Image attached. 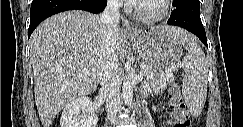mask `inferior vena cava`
I'll return each mask as SVG.
<instances>
[{
    "mask_svg": "<svg viewBox=\"0 0 243 127\" xmlns=\"http://www.w3.org/2000/svg\"><path fill=\"white\" fill-rule=\"evenodd\" d=\"M120 6V0H108L101 15V22L106 26L107 30L103 44L99 82L102 90L107 93L106 112L111 122H115L117 113L121 110L120 68L114 39V34L120 22Z\"/></svg>",
    "mask_w": 243,
    "mask_h": 127,
    "instance_id": "602c4592",
    "label": "inferior vena cava"
}]
</instances>
